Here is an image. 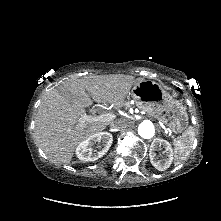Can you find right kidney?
Returning a JSON list of instances; mask_svg holds the SVG:
<instances>
[{"label": "right kidney", "instance_id": "1", "mask_svg": "<svg viewBox=\"0 0 221 221\" xmlns=\"http://www.w3.org/2000/svg\"><path fill=\"white\" fill-rule=\"evenodd\" d=\"M112 141V134L107 132L91 135L77 146L76 155L81 161L84 162L98 160L109 150ZM94 147L97 149H94Z\"/></svg>", "mask_w": 221, "mask_h": 221}]
</instances>
